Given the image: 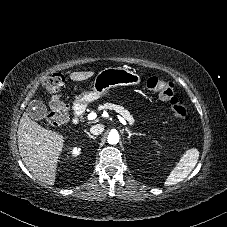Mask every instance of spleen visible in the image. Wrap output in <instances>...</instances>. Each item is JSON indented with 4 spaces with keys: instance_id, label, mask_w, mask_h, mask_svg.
<instances>
[{
    "instance_id": "3e777b00",
    "label": "spleen",
    "mask_w": 227,
    "mask_h": 227,
    "mask_svg": "<svg viewBox=\"0 0 227 227\" xmlns=\"http://www.w3.org/2000/svg\"><path fill=\"white\" fill-rule=\"evenodd\" d=\"M199 159V151L196 148L188 149L170 172L164 186H172L183 181L195 168Z\"/></svg>"
}]
</instances>
